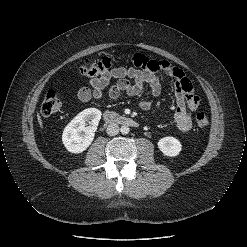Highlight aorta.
I'll return each instance as SVG.
<instances>
[{
  "label": "aorta",
  "instance_id": "762f6f07",
  "mask_svg": "<svg viewBox=\"0 0 247 247\" xmlns=\"http://www.w3.org/2000/svg\"><path fill=\"white\" fill-rule=\"evenodd\" d=\"M120 131L122 134H128L130 132V128L126 125L121 126Z\"/></svg>",
  "mask_w": 247,
  "mask_h": 247
}]
</instances>
